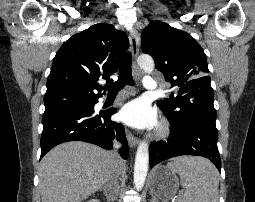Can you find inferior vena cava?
<instances>
[{"instance_id":"1","label":"inferior vena cava","mask_w":255,"mask_h":202,"mask_svg":"<svg viewBox=\"0 0 255 202\" xmlns=\"http://www.w3.org/2000/svg\"><path fill=\"white\" fill-rule=\"evenodd\" d=\"M114 147L116 149H118L120 147V144L115 142L114 143ZM113 154L119 159V163L121 164L122 161L118 155L117 150H114ZM120 169L117 168L116 171L114 172V174L111 176V178L106 182L104 189L106 191V193L109 195V197L115 199L117 194H118V190H119V184L117 181V178L120 174Z\"/></svg>"}]
</instances>
